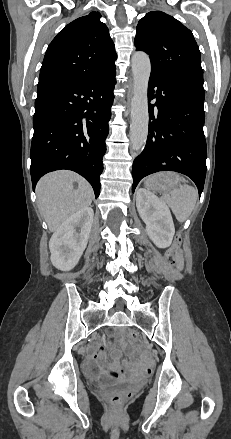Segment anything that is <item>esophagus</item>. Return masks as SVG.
<instances>
[{"label":"esophagus","instance_id":"1","mask_svg":"<svg viewBox=\"0 0 231 439\" xmlns=\"http://www.w3.org/2000/svg\"><path fill=\"white\" fill-rule=\"evenodd\" d=\"M130 91L132 92V83L130 84Z\"/></svg>","mask_w":231,"mask_h":439}]
</instances>
